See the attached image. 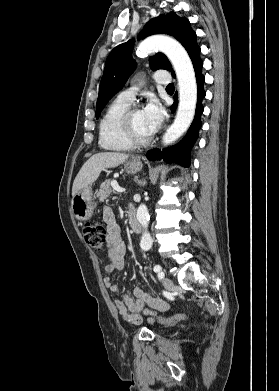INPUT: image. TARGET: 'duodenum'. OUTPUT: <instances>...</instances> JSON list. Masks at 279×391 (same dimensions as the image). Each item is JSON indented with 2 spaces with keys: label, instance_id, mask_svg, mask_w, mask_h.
I'll return each mask as SVG.
<instances>
[{
  "label": "duodenum",
  "instance_id": "410a0bca",
  "mask_svg": "<svg viewBox=\"0 0 279 391\" xmlns=\"http://www.w3.org/2000/svg\"><path fill=\"white\" fill-rule=\"evenodd\" d=\"M127 217L129 221V225L134 233L141 232V225L138 221L136 211L133 207H129L127 210Z\"/></svg>",
  "mask_w": 279,
  "mask_h": 391
}]
</instances>
